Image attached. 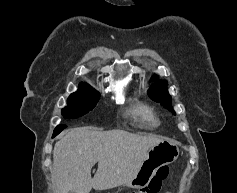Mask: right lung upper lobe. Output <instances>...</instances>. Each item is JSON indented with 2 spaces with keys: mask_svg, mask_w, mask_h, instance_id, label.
<instances>
[{
  "mask_svg": "<svg viewBox=\"0 0 237 193\" xmlns=\"http://www.w3.org/2000/svg\"><path fill=\"white\" fill-rule=\"evenodd\" d=\"M79 90L94 91V89L91 86H89L88 84H86V83H81L79 85Z\"/></svg>",
  "mask_w": 237,
  "mask_h": 193,
  "instance_id": "right-lung-upper-lobe-1",
  "label": "right lung upper lobe"
}]
</instances>
